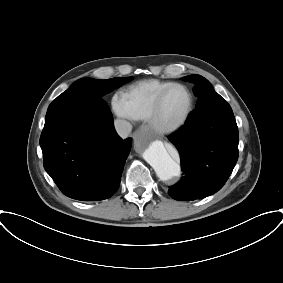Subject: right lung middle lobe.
Returning a JSON list of instances; mask_svg holds the SVG:
<instances>
[{"mask_svg":"<svg viewBox=\"0 0 283 283\" xmlns=\"http://www.w3.org/2000/svg\"><path fill=\"white\" fill-rule=\"evenodd\" d=\"M129 80L131 77L107 80L80 79L49 105L46 118L65 111L81 112L98 104L106 105L102 97Z\"/></svg>","mask_w":283,"mask_h":283,"instance_id":"1","label":"right lung middle lobe"}]
</instances>
